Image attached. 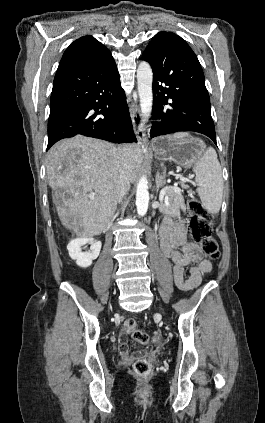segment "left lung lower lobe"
<instances>
[{
	"instance_id": "obj_1",
	"label": "left lung lower lobe",
	"mask_w": 265,
	"mask_h": 423,
	"mask_svg": "<svg viewBox=\"0 0 265 423\" xmlns=\"http://www.w3.org/2000/svg\"><path fill=\"white\" fill-rule=\"evenodd\" d=\"M142 57L153 69V114L160 120L153 123L151 138L194 131L208 136L216 144L203 70L186 41L169 34L161 42L152 44ZM167 104L171 107L165 108Z\"/></svg>"
}]
</instances>
